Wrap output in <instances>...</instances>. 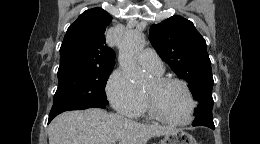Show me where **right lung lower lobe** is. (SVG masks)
I'll return each instance as SVG.
<instances>
[{"instance_id":"obj_1","label":"right lung lower lobe","mask_w":260,"mask_h":144,"mask_svg":"<svg viewBox=\"0 0 260 144\" xmlns=\"http://www.w3.org/2000/svg\"><path fill=\"white\" fill-rule=\"evenodd\" d=\"M98 108H105V106H100V107H98ZM53 118H54V117H49V121H48V122H50Z\"/></svg>"}]
</instances>
